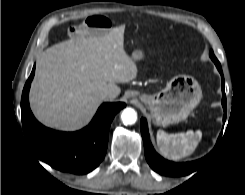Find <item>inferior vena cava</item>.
<instances>
[{
  "label": "inferior vena cava",
  "instance_id": "1",
  "mask_svg": "<svg viewBox=\"0 0 245 195\" xmlns=\"http://www.w3.org/2000/svg\"><path fill=\"white\" fill-rule=\"evenodd\" d=\"M113 97H114V95L109 91H106V92L101 94L102 99H112Z\"/></svg>",
  "mask_w": 245,
  "mask_h": 195
}]
</instances>
